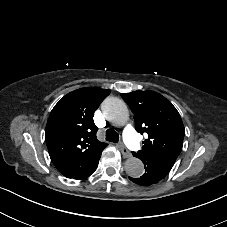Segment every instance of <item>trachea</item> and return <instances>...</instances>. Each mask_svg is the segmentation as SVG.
Listing matches in <instances>:
<instances>
[{"instance_id": "trachea-1", "label": "trachea", "mask_w": 227, "mask_h": 227, "mask_svg": "<svg viewBox=\"0 0 227 227\" xmlns=\"http://www.w3.org/2000/svg\"><path fill=\"white\" fill-rule=\"evenodd\" d=\"M105 136H106V140L110 142L117 143L119 140V135L114 129H108L106 131Z\"/></svg>"}]
</instances>
